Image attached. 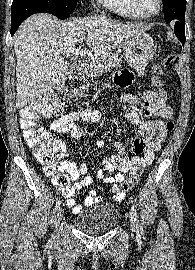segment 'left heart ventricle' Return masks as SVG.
I'll list each match as a JSON object with an SVG mask.
<instances>
[{"mask_svg": "<svg viewBox=\"0 0 195 270\" xmlns=\"http://www.w3.org/2000/svg\"><path fill=\"white\" fill-rule=\"evenodd\" d=\"M143 8L147 11H154L157 7L156 0H140Z\"/></svg>", "mask_w": 195, "mask_h": 270, "instance_id": "b2bd125f", "label": "left heart ventricle"}]
</instances>
